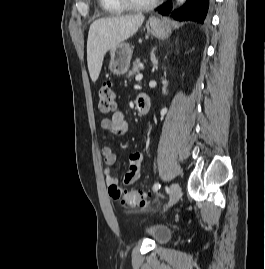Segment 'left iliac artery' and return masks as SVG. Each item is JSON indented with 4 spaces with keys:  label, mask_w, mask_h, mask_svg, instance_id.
Segmentation results:
<instances>
[{
    "label": "left iliac artery",
    "mask_w": 265,
    "mask_h": 269,
    "mask_svg": "<svg viewBox=\"0 0 265 269\" xmlns=\"http://www.w3.org/2000/svg\"><path fill=\"white\" fill-rule=\"evenodd\" d=\"M160 187H161L160 183H155L153 186V190L158 191L160 189Z\"/></svg>",
    "instance_id": "44dca946"
}]
</instances>
